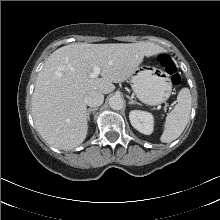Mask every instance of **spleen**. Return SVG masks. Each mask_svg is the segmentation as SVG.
Masks as SVG:
<instances>
[{"instance_id": "1", "label": "spleen", "mask_w": 220, "mask_h": 220, "mask_svg": "<svg viewBox=\"0 0 220 220\" xmlns=\"http://www.w3.org/2000/svg\"><path fill=\"white\" fill-rule=\"evenodd\" d=\"M192 97L188 88H182L177 96V104L167 114L161 142L170 143L184 131L190 117Z\"/></svg>"}]
</instances>
